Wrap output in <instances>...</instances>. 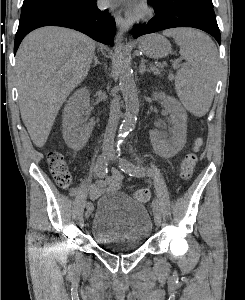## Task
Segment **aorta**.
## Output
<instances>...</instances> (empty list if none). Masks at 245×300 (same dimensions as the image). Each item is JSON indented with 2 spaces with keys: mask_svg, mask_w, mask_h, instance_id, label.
Masks as SVG:
<instances>
[{
  "mask_svg": "<svg viewBox=\"0 0 245 300\" xmlns=\"http://www.w3.org/2000/svg\"><path fill=\"white\" fill-rule=\"evenodd\" d=\"M115 42L119 87L122 91L126 107L124 120L119 130V139H121L125 137V135L134 127L136 123L139 112V98L132 70L127 63L125 52L123 50L121 33L117 34Z\"/></svg>",
  "mask_w": 245,
  "mask_h": 300,
  "instance_id": "aorta-1",
  "label": "aorta"
}]
</instances>
